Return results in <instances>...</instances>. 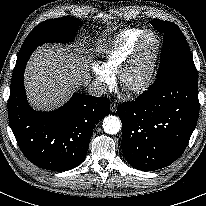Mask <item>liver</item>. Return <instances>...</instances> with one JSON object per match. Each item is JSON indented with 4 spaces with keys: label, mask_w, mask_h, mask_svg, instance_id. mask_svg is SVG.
Returning <instances> with one entry per match:
<instances>
[{
    "label": "liver",
    "mask_w": 206,
    "mask_h": 206,
    "mask_svg": "<svg viewBox=\"0 0 206 206\" xmlns=\"http://www.w3.org/2000/svg\"><path fill=\"white\" fill-rule=\"evenodd\" d=\"M80 52L45 44L32 54L24 73V83L33 107L54 109L68 100L82 83H88L87 60L81 58Z\"/></svg>",
    "instance_id": "liver-1"
}]
</instances>
